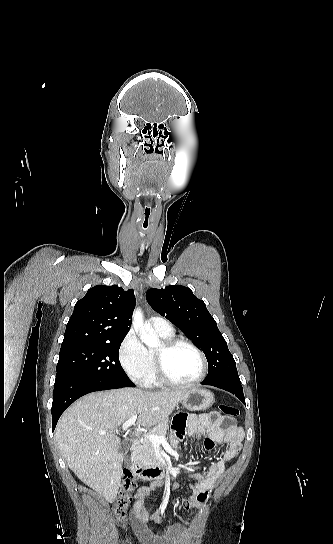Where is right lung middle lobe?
Segmentation results:
<instances>
[{
  "label": "right lung middle lobe",
  "instance_id": "right-lung-middle-lobe-1",
  "mask_svg": "<svg viewBox=\"0 0 333 544\" xmlns=\"http://www.w3.org/2000/svg\"><path fill=\"white\" fill-rule=\"evenodd\" d=\"M124 337L61 348L56 376L71 375L88 381L131 384L118 357Z\"/></svg>",
  "mask_w": 333,
  "mask_h": 544
}]
</instances>
